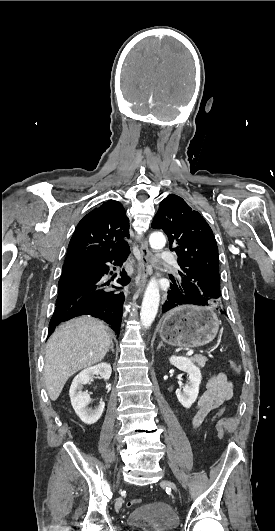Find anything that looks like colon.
Segmentation results:
<instances>
[{
	"label": "colon",
	"mask_w": 275,
	"mask_h": 531,
	"mask_svg": "<svg viewBox=\"0 0 275 531\" xmlns=\"http://www.w3.org/2000/svg\"><path fill=\"white\" fill-rule=\"evenodd\" d=\"M230 366H231L232 370L235 371L236 373H240L241 372L242 368H241V365L238 362L231 361L230 362ZM223 411H224V408H220V409L216 410V412L213 413L212 418H210V420H209L210 425L215 426V425H217V423L219 421L222 420L223 415H224ZM140 502H141V499L133 498V499L128 501L127 505L128 506H134V505L139 504Z\"/></svg>",
	"instance_id": "5ec220e1"
}]
</instances>
